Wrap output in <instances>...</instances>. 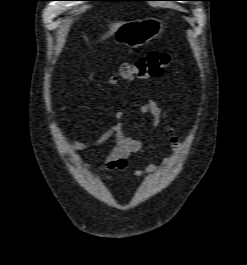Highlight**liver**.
Returning <instances> with one entry per match:
<instances>
[{
	"label": "liver",
	"instance_id": "6515ba94",
	"mask_svg": "<svg viewBox=\"0 0 247 265\" xmlns=\"http://www.w3.org/2000/svg\"><path fill=\"white\" fill-rule=\"evenodd\" d=\"M123 24V22H117V23H113L111 26H110V30L109 32L102 37V39H106L107 37L113 35L118 29L119 27Z\"/></svg>",
	"mask_w": 247,
	"mask_h": 265
}]
</instances>
